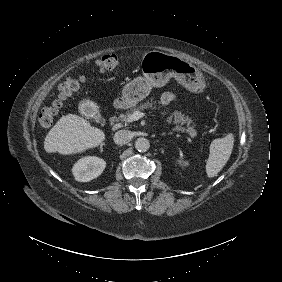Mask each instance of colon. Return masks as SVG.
Here are the masks:
<instances>
[{
  "mask_svg": "<svg viewBox=\"0 0 282 282\" xmlns=\"http://www.w3.org/2000/svg\"><path fill=\"white\" fill-rule=\"evenodd\" d=\"M119 64L115 54H105L98 61V68L105 73L114 70ZM79 79H71L64 82L55 94L52 102L42 111L38 123L42 128H50L58 115L63 101L72 95L80 86Z\"/></svg>",
  "mask_w": 282,
  "mask_h": 282,
  "instance_id": "obj_1",
  "label": "colon"
}]
</instances>
